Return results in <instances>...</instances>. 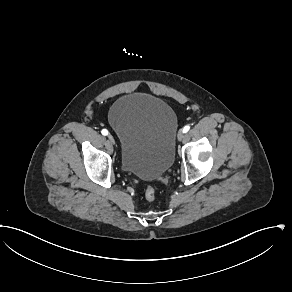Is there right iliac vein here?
Here are the masks:
<instances>
[{
	"instance_id": "obj_1",
	"label": "right iliac vein",
	"mask_w": 292,
	"mask_h": 292,
	"mask_svg": "<svg viewBox=\"0 0 292 292\" xmlns=\"http://www.w3.org/2000/svg\"><path fill=\"white\" fill-rule=\"evenodd\" d=\"M108 139L111 144H115V140L112 135H108Z\"/></svg>"
}]
</instances>
